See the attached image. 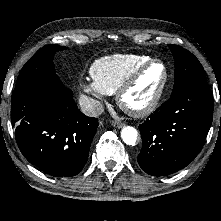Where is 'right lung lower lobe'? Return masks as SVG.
I'll return each mask as SVG.
<instances>
[{
	"instance_id": "right-lung-lower-lobe-1",
	"label": "right lung lower lobe",
	"mask_w": 221,
	"mask_h": 221,
	"mask_svg": "<svg viewBox=\"0 0 221 221\" xmlns=\"http://www.w3.org/2000/svg\"><path fill=\"white\" fill-rule=\"evenodd\" d=\"M73 93L62 85H42L12 99L11 119L23 156L55 177L84 167L98 119L80 112Z\"/></svg>"
}]
</instances>
